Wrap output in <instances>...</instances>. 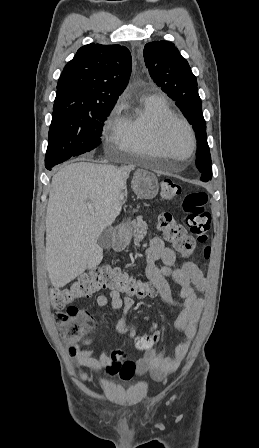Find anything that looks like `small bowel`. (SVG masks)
<instances>
[{"instance_id":"1","label":"small bowel","mask_w":259,"mask_h":448,"mask_svg":"<svg viewBox=\"0 0 259 448\" xmlns=\"http://www.w3.org/2000/svg\"><path fill=\"white\" fill-rule=\"evenodd\" d=\"M147 260L146 274L156 292L166 303L180 309L175 327L183 333V339L172 351L150 348L136 362L125 360L119 350L111 353L100 352L96 356L95 351L89 347L90 341H87L84 347L68 344V355L80 365L100 375L103 384L108 385L114 377H118L122 381H129L135 375L145 373H150L157 380L164 379L179 367L196 334V323L204 306L202 298L198 296V292H202L206 288L204 274L191 261H184L180 266H176L175 252L164 243L160 236L152 239L147 251ZM158 260L162 261L163 266L155 265ZM169 281L178 286L179 299L173 297ZM96 303L100 307L122 310L116 328L119 332L128 333L131 338H135L136 330L127 321V316L134 305L132 297L112 294L109 297L99 295L96 298ZM151 330L159 332L158 325L153 323ZM79 376L82 380L88 379V375L84 372H80Z\"/></svg>"}]
</instances>
